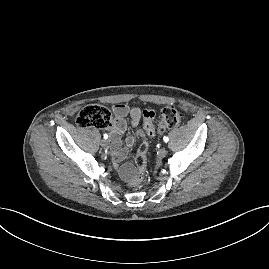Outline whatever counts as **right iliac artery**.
I'll list each match as a JSON object with an SVG mask.
<instances>
[{"mask_svg":"<svg viewBox=\"0 0 269 269\" xmlns=\"http://www.w3.org/2000/svg\"><path fill=\"white\" fill-rule=\"evenodd\" d=\"M103 137H104V139H107V138H108V135L105 133V134L103 135Z\"/></svg>","mask_w":269,"mask_h":269,"instance_id":"82829eb1","label":"right iliac artery"}]
</instances>
